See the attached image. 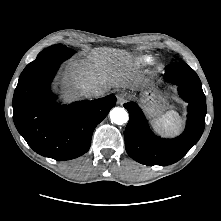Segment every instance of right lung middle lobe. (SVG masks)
I'll use <instances>...</instances> for the list:
<instances>
[{
  "label": "right lung middle lobe",
  "instance_id": "dd1d6c3e",
  "mask_svg": "<svg viewBox=\"0 0 221 221\" xmlns=\"http://www.w3.org/2000/svg\"><path fill=\"white\" fill-rule=\"evenodd\" d=\"M46 49L72 50V49H69V48H67L66 46H63V45H53V46H50Z\"/></svg>",
  "mask_w": 221,
  "mask_h": 221
}]
</instances>
